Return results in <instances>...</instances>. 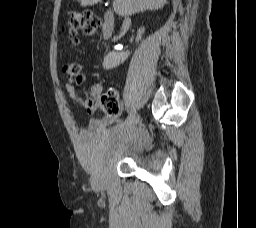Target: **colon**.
Returning <instances> with one entry per match:
<instances>
[{"instance_id": "5ec220e1", "label": "colon", "mask_w": 256, "mask_h": 228, "mask_svg": "<svg viewBox=\"0 0 256 228\" xmlns=\"http://www.w3.org/2000/svg\"><path fill=\"white\" fill-rule=\"evenodd\" d=\"M100 25V20L90 11L72 13L69 21L65 26V30L71 37V42L77 44V33L82 30L86 35H94ZM62 71L68 79L76 78L80 73V67L75 62L64 64ZM81 103L90 110L96 103L92 99L80 100ZM99 106L106 116L114 117L119 112L118 95L115 91L110 90L102 95Z\"/></svg>"}]
</instances>
